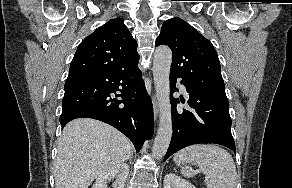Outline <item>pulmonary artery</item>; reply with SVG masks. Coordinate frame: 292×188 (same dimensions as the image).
<instances>
[{
	"mask_svg": "<svg viewBox=\"0 0 292 188\" xmlns=\"http://www.w3.org/2000/svg\"><path fill=\"white\" fill-rule=\"evenodd\" d=\"M181 86V90L184 92V93H186V88H185V86L184 85H180Z\"/></svg>",
	"mask_w": 292,
	"mask_h": 188,
	"instance_id": "1",
	"label": "pulmonary artery"
}]
</instances>
